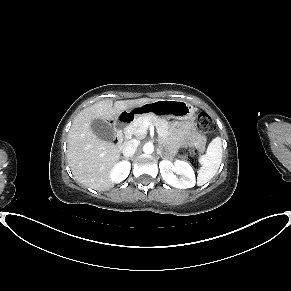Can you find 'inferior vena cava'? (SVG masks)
Segmentation results:
<instances>
[{
	"label": "inferior vena cava",
	"mask_w": 291,
	"mask_h": 291,
	"mask_svg": "<svg viewBox=\"0 0 291 291\" xmlns=\"http://www.w3.org/2000/svg\"><path fill=\"white\" fill-rule=\"evenodd\" d=\"M138 145L139 142L137 140L128 141L123 148V155L125 157H132L136 152Z\"/></svg>",
	"instance_id": "1"
}]
</instances>
